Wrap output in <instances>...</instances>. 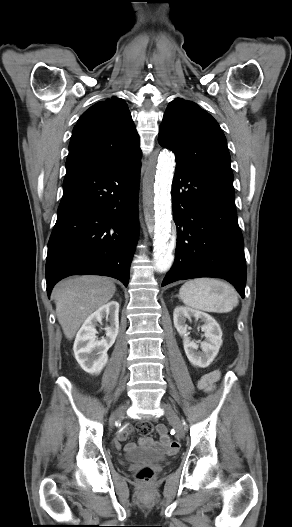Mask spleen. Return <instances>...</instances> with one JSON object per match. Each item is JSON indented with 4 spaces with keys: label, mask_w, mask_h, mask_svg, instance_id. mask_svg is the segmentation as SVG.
Instances as JSON below:
<instances>
[{
    "label": "spleen",
    "mask_w": 292,
    "mask_h": 527,
    "mask_svg": "<svg viewBox=\"0 0 292 527\" xmlns=\"http://www.w3.org/2000/svg\"><path fill=\"white\" fill-rule=\"evenodd\" d=\"M179 298L188 307L207 312H230L238 304V296L232 286L210 278L185 282L179 290Z\"/></svg>",
    "instance_id": "1"
}]
</instances>
